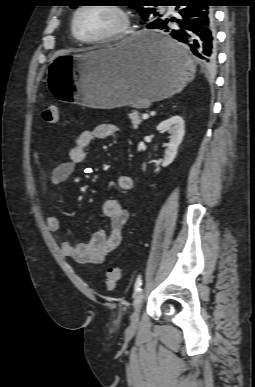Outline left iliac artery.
<instances>
[{
	"instance_id": "44dca946",
	"label": "left iliac artery",
	"mask_w": 255,
	"mask_h": 387,
	"mask_svg": "<svg viewBox=\"0 0 255 387\" xmlns=\"http://www.w3.org/2000/svg\"><path fill=\"white\" fill-rule=\"evenodd\" d=\"M141 285H142V279L141 276H138L135 285H134V291L135 293L139 292L141 290Z\"/></svg>"
}]
</instances>
